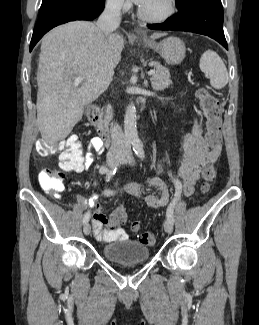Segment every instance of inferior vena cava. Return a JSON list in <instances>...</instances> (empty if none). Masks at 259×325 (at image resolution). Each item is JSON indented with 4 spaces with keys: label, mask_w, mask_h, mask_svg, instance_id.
<instances>
[{
    "label": "inferior vena cava",
    "mask_w": 259,
    "mask_h": 325,
    "mask_svg": "<svg viewBox=\"0 0 259 325\" xmlns=\"http://www.w3.org/2000/svg\"><path fill=\"white\" fill-rule=\"evenodd\" d=\"M123 0H110L100 15L96 26L108 36L116 30L121 22ZM125 148V137L121 127L115 123L111 126V151Z\"/></svg>",
    "instance_id": "obj_1"
}]
</instances>
